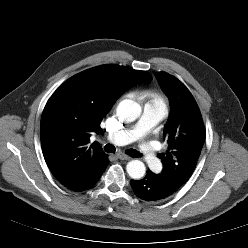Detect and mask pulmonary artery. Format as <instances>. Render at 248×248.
<instances>
[{
	"label": "pulmonary artery",
	"instance_id": "e3ab8cb5",
	"mask_svg": "<svg viewBox=\"0 0 248 248\" xmlns=\"http://www.w3.org/2000/svg\"><path fill=\"white\" fill-rule=\"evenodd\" d=\"M166 109L159 105L146 104L139 121L132 127L122 129L107 135V140L114 145H125L140 141L138 151L144 161L152 169H158L160 159L153 146L144 140L145 135L158 124L165 116Z\"/></svg>",
	"mask_w": 248,
	"mask_h": 248
}]
</instances>
